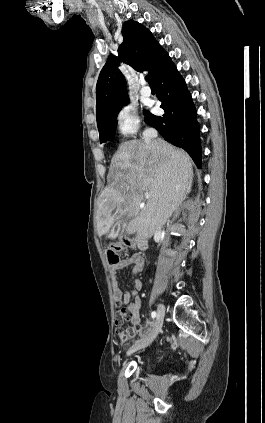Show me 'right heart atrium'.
<instances>
[{
  "label": "right heart atrium",
  "instance_id": "d8ad5b80",
  "mask_svg": "<svg viewBox=\"0 0 265 423\" xmlns=\"http://www.w3.org/2000/svg\"><path fill=\"white\" fill-rule=\"evenodd\" d=\"M115 125L118 132L123 136L135 133L140 125L136 106L129 102L123 103L115 114Z\"/></svg>",
  "mask_w": 265,
  "mask_h": 423
}]
</instances>
